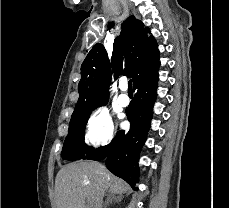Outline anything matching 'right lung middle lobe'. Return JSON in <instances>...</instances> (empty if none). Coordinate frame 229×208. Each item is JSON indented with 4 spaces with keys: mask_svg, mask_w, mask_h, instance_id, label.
Here are the masks:
<instances>
[{
    "mask_svg": "<svg viewBox=\"0 0 229 208\" xmlns=\"http://www.w3.org/2000/svg\"><path fill=\"white\" fill-rule=\"evenodd\" d=\"M106 104L107 101L99 104L98 106ZM90 114L77 119H71L68 135L62 149L63 159H68L70 161L79 160L92 149V147H89L84 143L85 126Z\"/></svg>",
    "mask_w": 229,
    "mask_h": 208,
    "instance_id": "dd1d6c3e",
    "label": "right lung middle lobe"
}]
</instances>
